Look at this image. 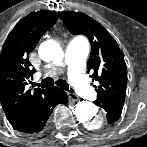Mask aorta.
Masks as SVG:
<instances>
[{
  "label": "aorta",
  "instance_id": "obj_1",
  "mask_svg": "<svg viewBox=\"0 0 147 147\" xmlns=\"http://www.w3.org/2000/svg\"><path fill=\"white\" fill-rule=\"evenodd\" d=\"M42 60L60 61L63 53L59 44L53 40H47L41 43L38 50ZM77 120L89 129L101 128L106 122V116L100 113L98 107L91 102H78L75 108Z\"/></svg>",
  "mask_w": 147,
  "mask_h": 147
}]
</instances>
